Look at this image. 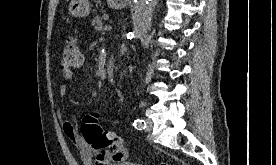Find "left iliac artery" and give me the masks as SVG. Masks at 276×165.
<instances>
[{"label":"left iliac artery","instance_id":"44dca946","mask_svg":"<svg viewBox=\"0 0 276 165\" xmlns=\"http://www.w3.org/2000/svg\"><path fill=\"white\" fill-rule=\"evenodd\" d=\"M134 126L138 130H143V129L146 128V123L142 119H136L135 122H134Z\"/></svg>","mask_w":276,"mask_h":165}]
</instances>
